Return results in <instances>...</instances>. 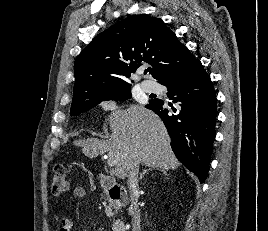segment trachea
Masks as SVG:
<instances>
[{
	"mask_svg": "<svg viewBox=\"0 0 268 231\" xmlns=\"http://www.w3.org/2000/svg\"><path fill=\"white\" fill-rule=\"evenodd\" d=\"M148 71H149V69L145 70V72H144V73H145V74H147V72H148Z\"/></svg>",
	"mask_w": 268,
	"mask_h": 231,
	"instance_id": "trachea-1",
	"label": "trachea"
}]
</instances>
